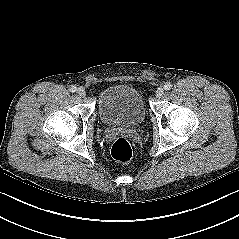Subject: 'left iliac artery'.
I'll return each mask as SVG.
<instances>
[{"label": "left iliac artery", "mask_w": 239, "mask_h": 239, "mask_svg": "<svg viewBox=\"0 0 239 239\" xmlns=\"http://www.w3.org/2000/svg\"><path fill=\"white\" fill-rule=\"evenodd\" d=\"M172 88V84L170 82H167L165 85H164V89L165 90H170Z\"/></svg>", "instance_id": "left-iliac-artery-1"}]
</instances>
